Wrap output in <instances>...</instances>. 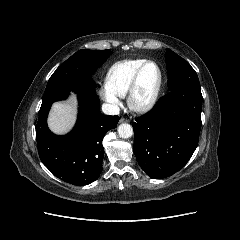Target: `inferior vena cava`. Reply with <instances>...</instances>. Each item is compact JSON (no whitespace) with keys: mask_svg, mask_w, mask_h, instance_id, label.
I'll list each match as a JSON object with an SVG mask.
<instances>
[{"mask_svg":"<svg viewBox=\"0 0 240 240\" xmlns=\"http://www.w3.org/2000/svg\"><path fill=\"white\" fill-rule=\"evenodd\" d=\"M102 111L107 115H118L120 108L115 104L104 103L102 105Z\"/></svg>","mask_w":240,"mask_h":240,"instance_id":"inferior-vena-cava-1","label":"inferior vena cava"}]
</instances>
